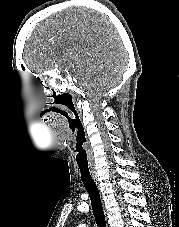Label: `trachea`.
<instances>
[{"instance_id":"1","label":"trachea","mask_w":179,"mask_h":227,"mask_svg":"<svg viewBox=\"0 0 179 227\" xmlns=\"http://www.w3.org/2000/svg\"><path fill=\"white\" fill-rule=\"evenodd\" d=\"M75 153V157L77 158L76 163L80 169L82 182L89 194L97 226L106 227V220L100 199V194L89 170L88 159H86V151L76 150Z\"/></svg>"}]
</instances>
